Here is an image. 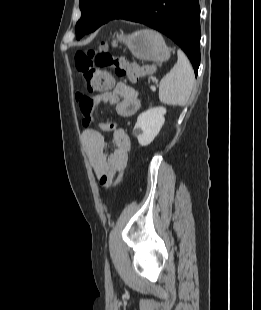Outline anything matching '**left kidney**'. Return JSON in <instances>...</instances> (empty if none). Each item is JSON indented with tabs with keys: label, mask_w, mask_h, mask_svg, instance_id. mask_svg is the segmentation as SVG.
Segmentation results:
<instances>
[{
	"label": "left kidney",
	"mask_w": 261,
	"mask_h": 310,
	"mask_svg": "<svg viewBox=\"0 0 261 310\" xmlns=\"http://www.w3.org/2000/svg\"><path fill=\"white\" fill-rule=\"evenodd\" d=\"M165 114V107H153L138 116L133 132L141 146L149 145L159 134Z\"/></svg>",
	"instance_id": "left-kidney-1"
}]
</instances>
